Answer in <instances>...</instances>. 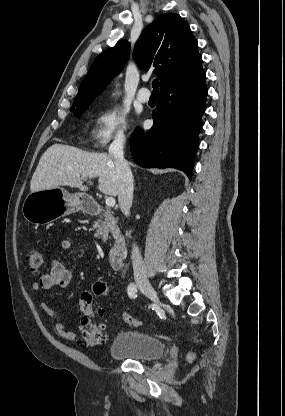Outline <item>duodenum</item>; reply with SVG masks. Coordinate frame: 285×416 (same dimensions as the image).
Listing matches in <instances>:
<instances>
[{
  "label": "duodenum",
  "instance_id": "obj_1",
  "mask_svg": "<svg viewBox=\"0 0 285 416\" xmlns=\"http://www.w3.org/2000/svg\"><path fill=\"white\" fill-rule=\"evenodd\" d=\"M77 200L90 214L98 215L102 211L101 206L98 204V198L90 197L89 193H78ZM126 249L127 240L124 235H119L113 241L108 253L111 269L119 270L122 268Z\"/></svg>",
  "mask_w": 285,
  "mask_h": 416
}]
</instances>
